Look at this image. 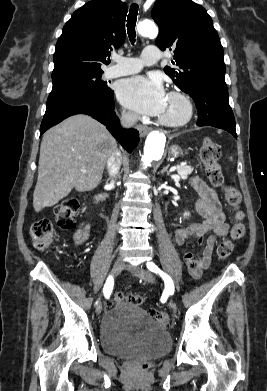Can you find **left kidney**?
Masks as SVG:
<instances>
[{
  "label": "left kidney",
  "instance_id": "left-kidney-1",
  "mask_svg": "<svg viewBox=\"0 0 267 391\" xmlns=\"http://www.w3.org/2000/svg\"><path fill=\"white\" fill-rule=\"evenodd\" d=\"M187 215H189V213H185V214H184V216H187Z\"/></svg>",
  "mask_w": 267,
  "mask_h": 391
}]
</instances>
